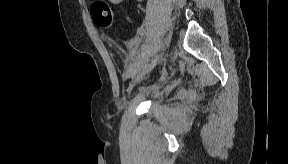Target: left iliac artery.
I'll return each mask as SVG.
<instances>
[{
  "label": "left iliac artery",
  "mask_w": 288,
  "mask_h": 164,
  "mask_svg": "<svg viewBox=\"0 0 288 164\" xmlns=\"http://www.w3.org/2000/svg\"><path fill=\"white\" fill-rule=\"evenodd\" d=\"M144 58V55H139L136 59H135V64H139Z\"/></svg>",
  "instance_id": "44dca946"
}]
</instances>
